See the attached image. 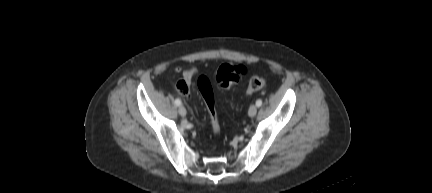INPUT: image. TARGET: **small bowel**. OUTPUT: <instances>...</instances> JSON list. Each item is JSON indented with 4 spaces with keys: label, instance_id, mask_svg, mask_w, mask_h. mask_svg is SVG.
<instances>
[{
    "label": "small bowel",
    "instance_id": "c3829d8e",
    "mask_svg": "<svg viewBox=\"0 0 432 193\" xmlns=\"http://www.w3.org/2000/svg\"><path fill=\"white\" fill-rule=\"evenodd\" d=\"M196 75L195 68H188L183 72L182 79L177 83V89L182 95L189 96V86Z\"/></svg>",
    "mask_w": 432,
    "mask_h": 193
}]
</instances>
